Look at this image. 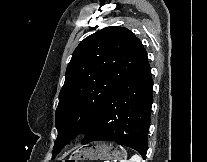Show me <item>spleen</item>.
<instances>
[{"label": "spleen", "mask_w": 207, "mask_h": 162, "mask_svg": "<svg viewBox=\"0 0 207 162\" xmlns=\"http://www.w3.org/2000/svg\"><path fill=\"white\" fill-rule=\"evenodd\" d=\"M122 162H141V157L139 155H133L129 160H123Z\"/></svg>", "instance_id": "obj_1"}]
</instances>
